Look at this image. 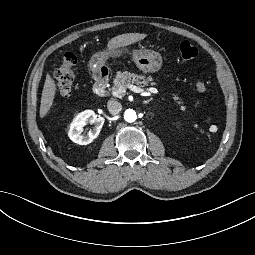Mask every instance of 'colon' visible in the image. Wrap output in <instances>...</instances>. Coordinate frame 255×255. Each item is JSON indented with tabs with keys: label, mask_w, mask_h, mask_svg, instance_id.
Wrapping results in <instances>:
<instances>
[{
	"label": "colon",
	"mask_w": 255,
	"mask_h": 255,
	"mask_svg": "<svg viewBox=\"0 0 255 255\" xmlns=\"http://www.w3.org/2000/svg\"><path fill=\"white\" fill-rule=\"evenodd\" d=\"M179 52L184 60H192L197 57L198 49L189 43L188 41H183L179 46ZM76 63V57L72 53L65 54L61 65L55 71V79L57 83V88L61 96L67 97L71 94L75 73L74 65ZM197 90L204 92L207 86L204 82H197Z\"/></svg>",
	"instance_id": "obj_1"
}]
</instances>
